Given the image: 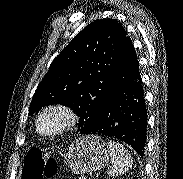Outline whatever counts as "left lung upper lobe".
<instances>
[{"label": "left lung upper lobe", "mask_w": 183, "mask_h": 179, "mask_svg": "<svg viewBox=\"0 0 183 179\" xmlns=\"http://www.w3.org/2000/svg\"><path fill=\"white\" fill-rule=\"evenodd\" d=\"M128 36L114 19L90 23L60 52L38 85L29 115L44 106H70L88 134L100 118L112 91Z\"/></svg>", "instance_id": "1"}]
</instances>
